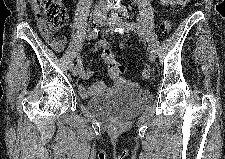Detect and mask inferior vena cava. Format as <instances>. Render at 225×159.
Listing matches in <instances>:
<instances>
[{
    "label": "inferior vena cava",
    "instance_id": "1",
    "mask_svg": "<svg viewBox=\"0 0 225 159\" xmlns=\"http://www.w3.org/2000/svg\"><path fill=\"white\" fill-rule=\"evenodd\" d=\"M98 4L99 5H103L104 4V1L100 0V1H98Z\"/></svg>",
    "mask_w": 225,
    "mask_h": 159
}]
</instances>
